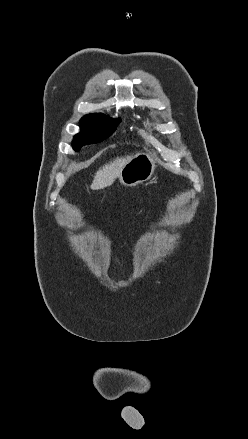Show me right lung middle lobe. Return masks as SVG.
I'll list each match as a JSON object with an SVG mask.
<instances>
[{
	"mask_svg": "<svg viewBox=\"0 0 248 439\" xmlns=\"http://www.w3.org/2000/svg\"><path fill=\"white\" fill-rule=\"evenodd\" d=\"M121 119H110L104 114H89L80 121L81 132L74 136L73 149L78 151L83 145L95 144L109 137Z\"/></svg>",
	"mask_w": 248,
	"mask_h": 439,
	"instance_id": "right-lung-middle-lobe-1",
	"label": "right lung middle lobe"
}]
</instances>
